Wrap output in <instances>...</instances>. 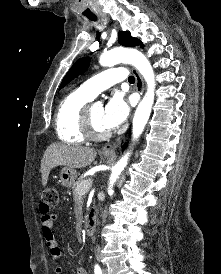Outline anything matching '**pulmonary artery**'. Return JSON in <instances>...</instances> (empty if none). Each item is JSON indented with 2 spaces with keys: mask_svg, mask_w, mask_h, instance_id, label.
I'll return each instance as SVG.
<instances>
[{
  "mask_svg": "<svg viewBox=\"0 0 221 274\" xmlns=\"http://www.w3.org/2000/svg\"><path fill=\"white\" fill-rule=\"evenodd\" d=\"M127 78V71L124 68H111L88 79L81 85V89L95 97L103 90L123 81Z\"/></svg>",
  "mask_w": 221,
  "mask_h": 274,
  "instance_id": "e3ab8cb5",
  "label": "pulmonary artery"
}]
</instances>
